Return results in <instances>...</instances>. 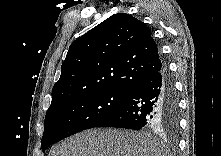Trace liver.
I'll list each match as a JSON object with an SVG mask.
<instances>
[{
  "instance_id": "liver-1",
  "label": "liver",
  "mask_w": 221,
  "mask_h": 156,
  "mask_svg": "<svg viewBox=\"0 0 221 156\" xmlns=\"http://www.w3.org/2000/svg\"><path fill=\"white\" fill-rule=\"evenodd\" d=\"M165 144L150 133L90 129L55 145L49 156H165Z\"/></svg>"
}]
</instances>
